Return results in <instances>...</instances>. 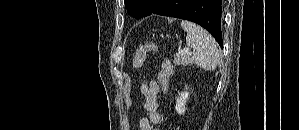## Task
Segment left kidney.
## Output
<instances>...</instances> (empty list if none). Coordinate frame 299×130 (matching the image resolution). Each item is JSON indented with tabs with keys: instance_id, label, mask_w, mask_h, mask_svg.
<instances>
[{
	"instance_id": "obj_1",
	"label": "left kidney",
	"mask_w": 299,
	"mask_h": 130,
	"mask_svg": "<svg viewBox=\"0 0 299 130\" xmlns=\"http://www.w3.org/2000/svg\"><path fill=\"white\" fill-rule=\"evenodd\" d=\"M189 97V92L184 91L179 93L178 98L176 99V106H175V110L177 111L178 114H184L185 113V105H186V101L188 100Z\"/></svg>"
}]
</instances>
